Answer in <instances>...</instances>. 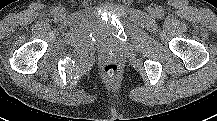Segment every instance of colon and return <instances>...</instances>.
<instances>
[{
    "instance_id": "1",
    "label": "colon",
    "mask_w": 217,
    "mask_h": 121,
    "mask_svg": "<svg viewBox=\"0 0 217 121\" xmlns=\"http://www.w3.org/2000/svg\"><path fill=\"white\" fill-rule=\"evenodd\" d=\"M119 70H120L119 64L114 62L106 63L103 66V72L108 77L115 76L119 72Z\"/></svg>"
}]
</instances>
